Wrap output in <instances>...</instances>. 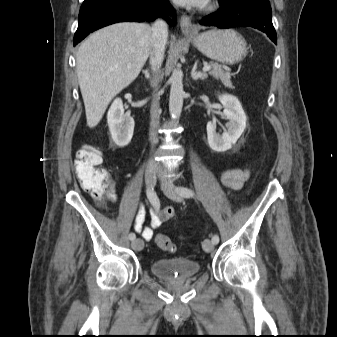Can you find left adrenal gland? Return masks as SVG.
<instances>
[{"mask_svg":"<svg viewBox=\"0 0 337 337\" xmlns=\"http://www.w3.org/2000/svg\"><path fill=\"white\" fill-rule=\"evenodd\" d=\"M196 69H197V63H195V65L192 69V72H191L192 79H194V80H198V79L204 80L208 77V75L206 73L199 72Z\"/></svg>","mask_w":337,"mask_h":337,"instance_id":"obj_1","label":"left adrenal gland"}]
</instances>
